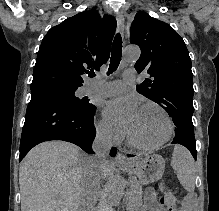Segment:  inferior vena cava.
I'll use <instances>...</instances> for the list:
<instances>
[{"instance_id":"602c4592","label":"inferior vena cava","mask_w":219,"mask_h":211,"mask_svg":"<svg viewBox=\"0 0 219 211\" xmlns=\"http://www.w3.org/2000/svg\"><path fill=\"white\" fill-rule=\"evenodd\" d=\"M112 135H109L107 131L98 133L93 143L92 149L95 151V155H91V166L89 167L90 174L86 179L87 183H81V188H78V193H81V207H85L86 211H91L90 207H95L94 193L97 192L96 188H99V179L97 175H103V170L106 165L107 151L111 147Z\"/></svg>"}]
</instances>
